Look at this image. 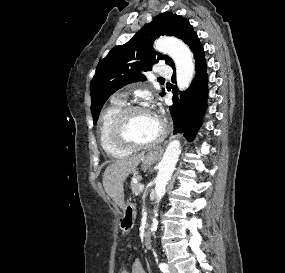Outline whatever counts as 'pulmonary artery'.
I'll use <instances>...</instances> for the list:
<instances>
[{
	"label": "pulmonary artery",
	"instance_id": "1",
	"mask_svg": "<svg viewBox=\"0 0 285 273\" xmlns=\"http://www.w3.org/2000/svg\"><path fill=\"white\" fill-rule=\"evenodd\" d=\"M156 73L158 76H160L161 78L164 77H170L172 75V69L168 66L165 65H161L157 68ZM126 98V94L125 93H120L117 94L113 97L114 101H124Z\"/></svg>",
	"mask_w": 285,
	"mask_h": 273
}]
</instances>
